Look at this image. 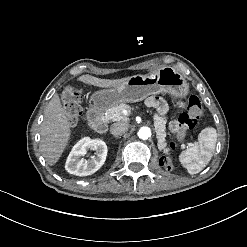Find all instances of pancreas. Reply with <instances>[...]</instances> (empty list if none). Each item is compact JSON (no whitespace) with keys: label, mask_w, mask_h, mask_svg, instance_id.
Listing matches in <instances>:
<instances>
[{"label":"pancreas","mask_w":247,"mask_h":247,"mask_svg":"<svg viewBox=\"0 0 247 247\" xmlns=\"http://www.w3.org/2000/svg\"><path fill=\"white\" fill-rule=\"evenodd\" d=\"M123 110L130 111L131 107L127 104L121 103L119 105L107 109L103 113V116L111 121H128V117L123 114ZM166 123L167 119L165 117L159 116L158 114L154 115V127L158 139V149L163 150L164 153L169 152V149L166 148L167 143L165 142Z\"/></svg>","instance_id":"1"}]
</instances>
